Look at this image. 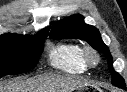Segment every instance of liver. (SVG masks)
Segmentation results:
<instances>
[{"label":"liver","mask_w":127,"mask_h":92,"mask_svg":"<svg viewBox=\"0 0 127 92\" xmlns=\"http://www.w3.org/2000/svg\"><path fill=\"white\" fill-rule=\"evenodd\" d=\"M83 85L87 82L75 77L49 74L19 81L0 92H72Z\"/></svg>","instance_id":"liver-1"}]
</instances>
